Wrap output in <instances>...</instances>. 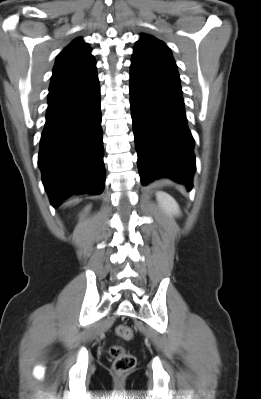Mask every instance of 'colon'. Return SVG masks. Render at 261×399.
<instances>
[{"mask_svg":"<svg viewBox=\"0 0 261 399\" xmlns=\"http://www.w3.org/2000/svg\"><path fill=\"white\" fill-rule=\"evenodd\" d=\"M118 337L124 340H131L134 335L132 327L127 325H119L116 328ZM110 354L113 358V369L118 374H123L130 371L136 363V358L133 354L126 352L119 346H112Z\"/></svg>","mask_w":261,"mask_h":399,"instance_id":"colon-1","label":"colon"}]
</instances>
